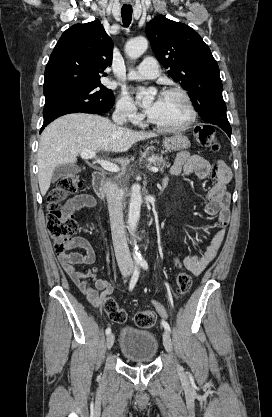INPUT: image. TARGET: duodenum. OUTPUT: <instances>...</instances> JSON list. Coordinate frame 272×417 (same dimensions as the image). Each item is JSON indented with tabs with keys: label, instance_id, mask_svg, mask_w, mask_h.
Returning a JSON list of instances; mask_svg holds the SVG:
<instances>
[{
	"label": "duodenum",
	"instance_id": "410a0bca",
	"mask_svg": "<svg viewBox=\"0 0 272 417\" xmlns=\"http://www.w3.org/2000/svg\"><path fill=\"white\" fill-rule=\"evenodd\" d=\"M104 184H105L104 172L102 170L94 171L92 175V187H93L94 192L101 198L104 197L105 195ZM165 185L166 183L164 182L161 183L159 190H158V194H160V192L163 190Z\"/></svg>",
	"mask_w": 272,
	"mask_h": 417
}]
</instances>
